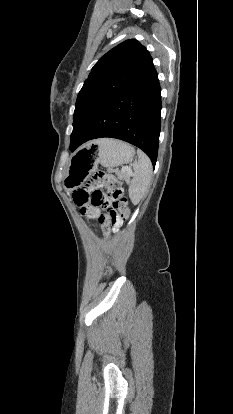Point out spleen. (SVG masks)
<instances>
[{
  "label": "spleen",
  "instance_id": "spleen-1",
  "mask_svg": "<svg viewBox=\"0 0 233 414\" xmlns=\"http://www.w3.org/2000/svg\"><path fill=\"white\" fill-rule=\"evenodd\" d=\"M138 160L133 163V179L129 185V197L134 205L145 197L152 180V163L141 150H137Z\"/></svg>",
  "mask_w": 233,
  "mask_h": 414
}]
</instances>
